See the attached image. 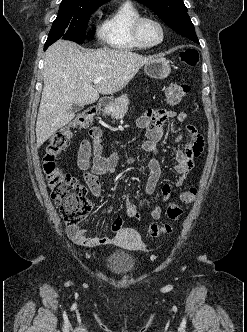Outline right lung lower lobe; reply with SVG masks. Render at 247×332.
Returning a JSON list of instances; mask_svg holds the SVG:
<instances>
[{
	"label": "right lung lower lobe",
	"mask_w": 247,
	"mask_h": 332,
	"mask_svg": "<svg viewBox=\"0 0 247 332\" xmlns=\"http://www.w3.org/2000/svg\"><path fill=\"white\" fill-rule=\"evenodd\" d=\"M51 44H52V42L46 41V43L44 45V50H46L48 48V46Z\"/></svg>",
	"instance_id": "obj_1"
}]
</instances>
